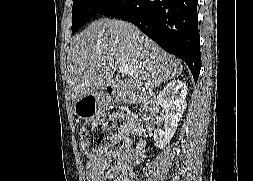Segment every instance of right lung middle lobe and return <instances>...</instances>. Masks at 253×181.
Here are the masks:
<instances>
[{
    "mask_svg": "<svg viewBox=\"0 0 253 181\" xmlns=\"http://www.w3.org/2000/svg\"><path fill=\"white\" fill-rule=\"evenodd\" d=\"M130 0H73L72 34L97 14L111 16L123 9Z\"/></svg>",
    "mask_w": 253,
    "mask_h": 181,
    "instance_id": "1",
    "label": "right lung middle lobe"
}]
</instances>
